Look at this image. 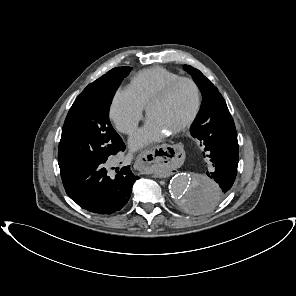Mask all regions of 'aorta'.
<instances>
[{"instance_id":"obj_1","label":"aorta","mask_w":296,"mask_h":296,"mask_svg":"<svg viewBox=\"0 0 296 296\" xmlns=\"http://www.w3.org/2000/svg\"><path fill=\"white\" fill-rule=\"evenodd\" d=\"M169 192L179 208L192 215L209 211L218 199L217 184L204 174L175 175L170 181Z\"/></svg>"}]
</instances>
